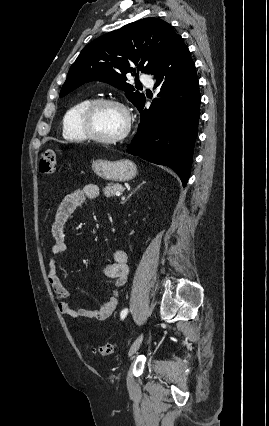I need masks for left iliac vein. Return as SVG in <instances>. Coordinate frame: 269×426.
Masks as SVG:
<instances>
[{"mask_svg":"<svg viewBox=\"0 0 269 426\" xmlns=\"http://www.w3.org/2000/svg\"><path fill=\"white\" fill-rule=\"evenodd\" d=\"M143 337H144V334L141 333L137 337V339L133 342L132 346L129 349V353H128L129 357L133 356L138 351V349H139V347H140V345L143 341Z\"/></svg>","mask_w":269,"mask_h":426,"instance_id":"1","label":"left iliac vein"}]
</instances>
